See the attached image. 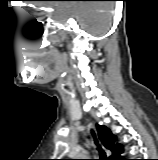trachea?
Here are the masks:
<instances>
[{
    "instance_id": "1",
    "label": "trachea",
    "mask_w": 158,
    "mask_h": 160,
    "mask_svg": "<svg viewBox=\"0 0 158 160\" xmlns=\"http://www.w3.org/2000/svg\"><path fill=\"white\" fill-rule=\"evenodd\" d=\"M92 134H93V136H94L95 143H96L97 146H98L99 155H100V159H97V160H108L107 157H106L105 152H104V151L101 149V147L98 145V142H97V140H96V138H95V134H94L93 131H92Z\"/></svg>"
}]
</instances>
